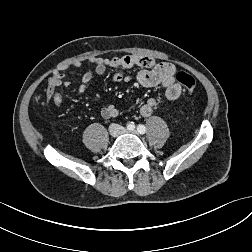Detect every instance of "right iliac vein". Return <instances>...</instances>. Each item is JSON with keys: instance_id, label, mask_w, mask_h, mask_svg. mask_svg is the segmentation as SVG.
Segmentation results:
<instances>
[{"instance_id": "63e3f726", "label": "right iliac vein", "mask_w": 252, "mask_h": 252, "mask_svg": "<svg viewBox=\"0 0 252 252\" xmlns=\"http://www.w3.org/2000/svg\"><path fill=\"white\" fill-rule=\"evenodd\" d=\"M118 129H119L118 127H114V129H112V131H111L112 134H116V132L118 131Z\"/></svg>"}]
</instances>
